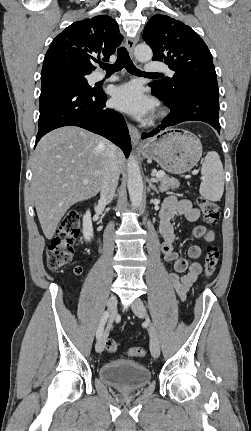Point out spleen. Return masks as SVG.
I'll use <instances>...</instances> for the list:
<instances>
[{"mask_svg": "<svg viewBox=\"0 0 251 431\" xmlns=\"http://www.w3.org/2000/svg\"><path fill=\"white\" fill-rule=\"evenodd\" d=\"M201 174L200 194L208 200L219 201L224 192V171L217 152L211 151L206 155Z\"/></svg>", "mask_w": 251, "mask_h": 431, "instance_id": "1", "label": "spleen"}]
</instances>
